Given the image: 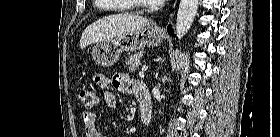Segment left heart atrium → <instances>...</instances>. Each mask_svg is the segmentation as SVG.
Listing matches in <instances>:
<instances>
[{
  "mask_svg": "<svg viewBox=\"0 0 280 137\" xmlns=\"http://www.w3.org/2000/svg\"><path fill=\"white\" fill-rule=\"evenodd\" d=\"M153 4L162 5L166 2V0H149Z\"/></svg>",
  "mask_w": 280,
  "mask_h": 137,
  "instance_id": "1",
  "label": "left heart atrium"
}]
</instances>
